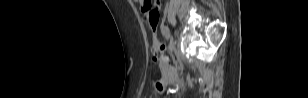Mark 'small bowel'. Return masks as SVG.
<instances>
[{"mask_svg": "<svg viewBox=\"0 0 308 98\" xmlns=\"http://www.w3.org/2000/svg\"><path fill=\"white\" fill-rule=\"evenodd\" d=\"M140 3H141L142 11H143V8H144V6H145V4H146V1H145V0H144V1H140ZM163 74H164L165 78H168V77H170V75H171L170 70H169L168 67H167L166 65H164V64H163Z\"/></svg>", "mask_w": 308, "mask_h": 98, "instance_id": "1", "label": "small bowel"}]
</instances>
